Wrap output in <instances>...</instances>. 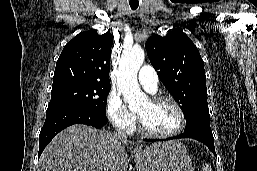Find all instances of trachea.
Returning <instances> with one entry per match:
<instances>
[{
    "mask_svg": "<svg viewBox=\"0 0 257 171\" xmlns=\"http://www.w3.org/2000/svg\"><path fill=\"white\" fill-rule=\"evenodd\" d=\"M138 6H139V3H135V4L130 3V7L132 10H136L138 8Z\"/></svg>",
    "mask_w": 257,
    "mask_h": 171,
    "instance_id": "3493384b",
    "label": "trachea"
}]
</instances>
